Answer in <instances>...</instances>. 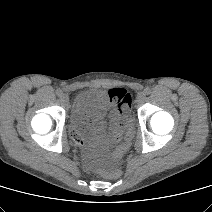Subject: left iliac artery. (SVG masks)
<instances>
[{
    "label": "left iliac artery",
    "mask_w": 212,
    "mask_h": 212,
    "mask_svg": "<svg viewBox=\"0 0 212 212\" xmlns=\"http://www.w3.org/2000/svg\"><path fill=\"white\" fill-rule=\"evenodd\" d=\"M144 93H145V95H149L151 93V89L149 87H146L144 89Z\"/></svg>",
    "instance_id": "1"
}]
</instances>
